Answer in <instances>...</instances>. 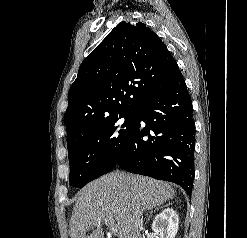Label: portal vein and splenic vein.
<instances>
[{
    "mask_svg": "<svg viewBox=\"0 0 247 238\" xmlns=\"http://www.w3.org/2000/svg\"><path fill=\"white\" fill-rule=\"evenodd\" d=\"M106 224L108 225L109 227V230L111 233H117L118 232V226L114 223V220H106Z\"/></svg>",
    "mask_w": 247,
    "mask_h": 238,
    "instance_id": "obj_1",
    "label": "portal vein and splenic vein"
}]
</instances>
